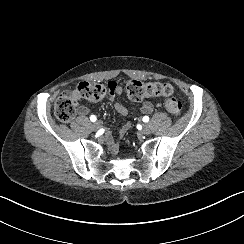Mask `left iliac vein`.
Masks as SVG:
<instances>
[{
    "instance_id": "1",
    "label": "left iliac vein",
    "mask_w": 244,
    "mask_h": 244,
    "mask_svg": "<svg viewBox=\"0 0 244 244\" xmlns=\"http://www.w3.org/2000/svg\"><path fill=\"white\" fill-rule=\"evenodd\" d=\"M141 133L144 135H148L151 133V128H150L149 124H144L142 126Z\"/></svg>"
}]
</instances>
